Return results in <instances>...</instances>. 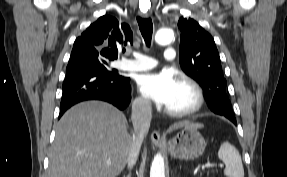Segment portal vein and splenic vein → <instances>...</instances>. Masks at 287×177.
I'll return each instance as SVG.
<instances>
[{
	"instance_id": "1",
	"label": "portal vein and splenic vein",
	"mask_w": 287,
	"mask_h": 177,
	"mask_svg": "<svg viewBox=\"0 0 287 177\" xmlns=\"http://www.w3.org/2000/svg\"><path fill=\"white\" fill-rule=\"evenodd\" d=\"M107 164H111V162L107 161ZM214 167H217V165L210 164V163H205V164L202 165L201 169H202V171H204L205 169L214 168Z\"/></svg>"
}]
</instances>
